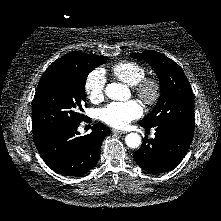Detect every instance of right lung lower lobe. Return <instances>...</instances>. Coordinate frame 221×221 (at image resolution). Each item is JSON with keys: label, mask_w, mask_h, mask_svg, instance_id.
I'll return each mask as SVG.
<instances>
[{"label": "right lung lower lobe", "mask_w": 221, "mask_h": 221, "mask_svg": "<svg viewBox=\"0 0 221 221\" xmlns=\"http://www.w3.org/2000/svg\"><path fill=\"white\" fill-rule=\"evenodd\" d=\"M80 123L58 127L34 139L41 157L52 170L68 176H82L97 164L101 142L111 131L98 123L89 135L81 136L77 130Z\"/></svg>", "instance_id": "98d812e1"}]
</instances>
